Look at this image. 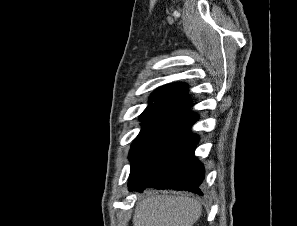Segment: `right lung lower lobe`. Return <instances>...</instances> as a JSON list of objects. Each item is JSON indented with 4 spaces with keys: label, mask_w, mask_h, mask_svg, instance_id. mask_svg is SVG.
<instances>
[{
    "label": "right lung lower lobe",
    "mask_w": 297,
    "mask_h": 226,
    "mask_svg": "<svg viewBox=\"0 0 297 226\" xmlns=\"http://www.w3.org/2000/svg\"><path fill=\"white\" fill-rule=\"evenodd\" d=\"M197 120L198 115L185 110L167 121L131 171L129 191L143 192L145 188H156L203 195L199 185L205 171L194 156L199 138L190 132Z\"/></svg>",
    "instance_id": "right-lung-lower-lobe-1"
}]
</instances>
